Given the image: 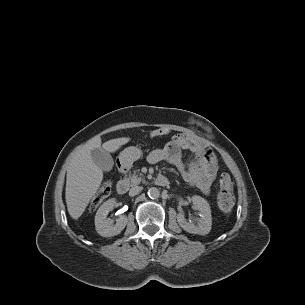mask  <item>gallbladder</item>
I'll list each match as a JSON object with an SVG mask.
<instances>
[{"mask_svg": "<svg viewBox=\"0 0 305 305\" xmlns=\"http://www.w3.org/2000/svg\"><path fill=\"white\" fill-rule=\"evenodd\" d=\"M93 162L103 171H111L114 165L112 156L103 148H95L91 151Z\"/></svg>", "mask_w": 305, "mask_h": 305, "instance_id": "bac80fb5", "label": "gallbladder"}]
</instances>
